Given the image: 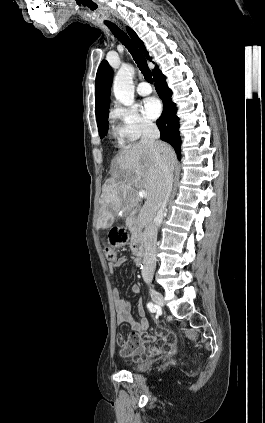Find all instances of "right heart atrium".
Masks as SVG:
<instances>
[{"instance_id": "right-heart-atrium-1", "label": "right heart atrium", "mask_w": 265, "mask_h": 423, "mask_svg": "<svg viewBox=\"0 0 265 423\" xmlns=\"http://www.w3.org/2000/svg\"><path fill=\"white\" fill-rule=\"evenodd\" d=\"M117 122V132L127 141H135L154 128V123L140 113L136 106L115 105L110 113Z\"/></svg>"}]
</instances>
